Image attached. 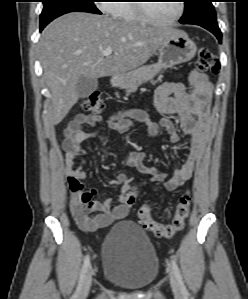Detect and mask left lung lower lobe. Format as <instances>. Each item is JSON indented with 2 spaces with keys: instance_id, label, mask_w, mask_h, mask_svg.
Here are the masks:
<instances>
[{
  "instance_id": "0a47b994",
  "label": "left lung lower lobe",
  "mask_w": 248,
  "mask_h": 299,
  "mask_svg": "<svg viewBox=\"0 0 248 299\" xmlns=\"http://www.w3.org/2000/svg\"><path fill=\"white\" fill-rule=\"evenodd\" d=\"M198 25L212 32L217 37L218 41L221 42L222 35L217 23H201Z\"/></svg>"
}]
</instances>
